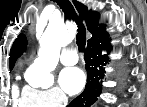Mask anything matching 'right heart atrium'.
<instances>
[{
    "instance_id": "1",
    "label": "right heart atrium",
    "mask_w": 147,
    "mask_h": 107,
    "mask_svg": "<svg viewBox=\"0 0 147 107\" xmlns=\"http://www.w3.org/2000/svg\"><path fill=\"white\" fill-rule=\"evenodd\" d=\"M23 93L26 97L31 98L34 104L41 107H60L67 102L66 96L57 87L38 90L27 86Z\"/></svg>"
}]
</instances>
